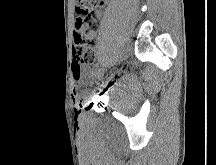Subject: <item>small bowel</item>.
<instances>
[{
	"label": "small bowel",
	"instance_id": "1",
	"mask_svg": "<svg viewBox=\"0 0 216 165\" xmlns=\"http://www.w3.org/2000/svg\"><path fill=\"white\" fill-rule=\"evenodd\" d=\"M84 73H85V71H84L83 67L80 64H78V62H76L74 60L73 64H72V74H73L74 79L76 81L81 80Z\"/></svg>",
	"mask_w": 216,
	"mask_h": 165
}]
</instances>
